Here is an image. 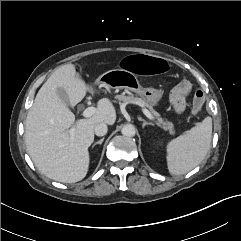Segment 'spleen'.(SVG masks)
Returning a JSON list of instances; mask_svg holds the SVG:
<instances>
[{"instance_id":"spleen-1","label":"spleen","mask_w":241,"mask_h":241,"mask_svg":"<svg viewBox=\"0 0 241 241\" xmlns=\"http://www.w3.org/2000/svg\"><path fill=\"white\" fill-rule=\"evenodd\" d=\"M212 138V119L206 117L186 134L167 144V166L172 175L186 174L198 166L207 155Z\"/></svg>"}]
</instances>
